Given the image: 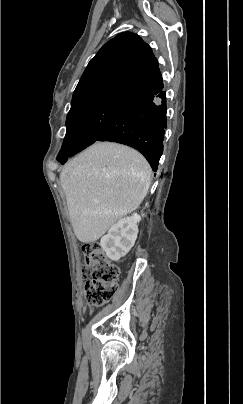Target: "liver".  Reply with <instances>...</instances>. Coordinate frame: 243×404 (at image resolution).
Instances as JSON below:
<instances>
[{"label": "liver", "instance_id": "6515ba94", "mask_svg": "<svg viewBox=\"0 0 243 404\" xmlns=\"http://www.w3.org/2000/svg\"><path fill=\"white\" fill-rule=\"evenodd\" d=\"M150 178L151 168L139 152L113 142H97L67 162L60 182L77 240L96 242L137 210Z\"/></svg>", "mask_w": 243, "mask_h": 404}]
</instances>
